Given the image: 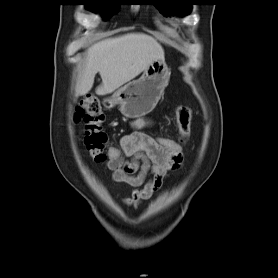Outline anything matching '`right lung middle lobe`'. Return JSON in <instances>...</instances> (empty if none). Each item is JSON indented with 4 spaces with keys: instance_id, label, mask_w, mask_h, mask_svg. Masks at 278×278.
I'll return each mask as SVG.
<instances>
[{
    "instance_id": "obj_1",
    "label": "right lung middle lobe",
    "mask_w": 278,
    "mask_h": 278,
    "mask_svg": "<svg viewBox=\"0 0 278 278\" xmlns=\"http://www.w3.org/2000/svg\"><path fill=\"white\" fill-rule=\"evenodd\" d=\"M107 1H110V0H86L85 5L89 10H91L93 12L99 10L101 7H103L105 5L119 6L118 3H105ZM115 10H117L116 7H115ZM111 14H113V12ZM108 17L109 16H105L104 18L107 19Z\"/></svg>"
}]
</instances>
